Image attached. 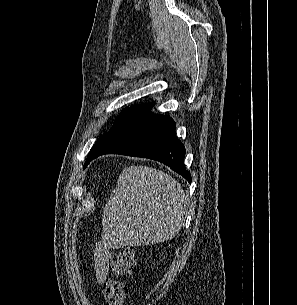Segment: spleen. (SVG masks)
<instances>
[{"label":"spleen","mask_w":297,"mask_h":305,"mask_svg":"<svg viewBox=\"0 0 297 305\" xmlns=\"http://www.w3.org/2000/svg\"><path fill=\"white\" fill-rule=\"evenodd\" d=\"M187 198L171 175L147 166L124 168L108 200L103 233L117 246L164 242L180 231Z\"/></svg>","instance_id":"1"}]
</instances>
